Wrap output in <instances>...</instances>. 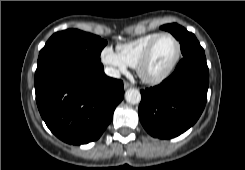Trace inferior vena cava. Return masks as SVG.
<instances>
[{
    "label": "inferior vena cava",
    "mask_w": 245,
    "mask_h": 170,
    "mask_svg": "<svg viewBox=\"0 0 245 170\" xmlns=\"http://www.w3.org/2000/svg\"><path fill=\"white\" fill-rule=\"evenodd\" d=\"M105 74L109 77H113V78H120V72L118 69H115L113 67H106L104 69Z\"/></svg>",
    "instance_id": "1"
}]
</instances>
